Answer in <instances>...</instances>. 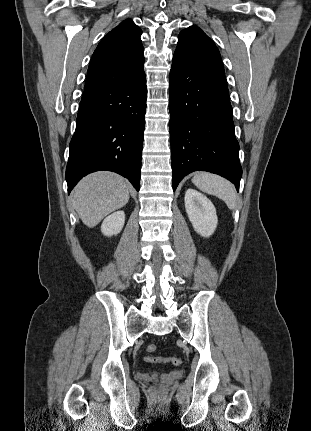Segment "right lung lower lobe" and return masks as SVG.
Returning <instances> with one entry per match:
<instances>
[{
  "label": "right lung lower lobe",
  "instance_id": "1",
  "mask_svg": "<svg viewBox=\"0 0 311 431\" xmlns=\"http://www.w3.org/2000/svg\"><path fill=\"white\" fill-rule=\"evenodd\" d=\"M146 98L143 67L128 79L84 90L70 142L68 193L98 170L126 177L139 191Z\"/></svg>",
  "mask_w": 311,
  "mask_h": 431
}]
</instances>
